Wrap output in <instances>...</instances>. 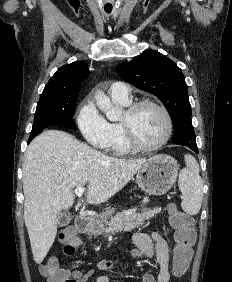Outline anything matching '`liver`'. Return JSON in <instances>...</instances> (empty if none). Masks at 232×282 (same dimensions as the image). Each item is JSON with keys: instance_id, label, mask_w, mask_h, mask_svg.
<instances>
[{"instance_id": "6515ba94", "label": "liver", "mask_w": 232, "mask_h": 282, "mask_svg": "<svg viewBox=\"0 0 232 282\" xmlns=\"http://www.w3.org/2000/svg\"><path fill=\"white\" fill-rule=\"evenodd\" d=\"M146 159H119L61 130H47L29 144L23 163L24 220L34 261L40 264L57 235L58 214L73 205V189L87 184L86 201L105 203Z\"/></svg>"}]
</instances>
